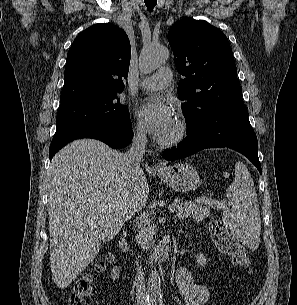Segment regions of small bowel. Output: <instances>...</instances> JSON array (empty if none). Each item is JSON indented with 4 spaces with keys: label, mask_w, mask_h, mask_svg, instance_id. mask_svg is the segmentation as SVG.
<instances>
[{
    "label": "small bowel",
    "mask_w": 297,
    "mask_h": 305,
    "mask_svg": "<svg viewBox=\"0 0 297 305\" xmlns=\"http://www.w3.org/2000/svg\"><path fill=\"white\" fill-rule=\"evenodd\" d=\"M175 282L186 305H205L210 299V289L204 284L197 283L185 267L176 270Z\"/></svg>",
    "instance_id": "c3829d8e"
}]
</instances>
